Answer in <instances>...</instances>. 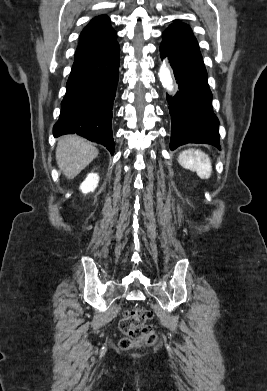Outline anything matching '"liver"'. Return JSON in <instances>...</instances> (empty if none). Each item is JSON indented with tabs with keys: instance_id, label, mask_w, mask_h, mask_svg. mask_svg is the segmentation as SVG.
<instances>
[{
	"instance_id": "6515ba94",
	"label": "liver",
	"mask_w": 267,
	"mask_h": 391,
	"mask_svg": "<svg viewBox=\"0 0 267 391\" xmlns=\"http://www.w3.org/2000/svg\"><path fill=\"white\" fill-rule=\"evenodd\" d=\"M97 156L98 150L79 136L68 135L58 141L57 165L68 179L76 177Z\"/></svg>"
}]
</instances>
